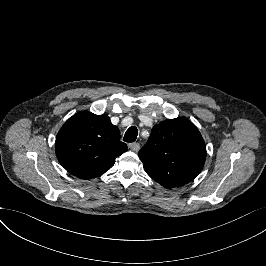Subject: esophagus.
<instances>
[{"instance_id": "esophagus-1", "label": "esophagus", "mask_w": 266, "mask_h": 266, "mask_svg": "<svg viewBox=\"0 0 266 266\" xmlns=\"http://www.w3.org/2000/svg\"><path fill=\"white\" fill-rule=\"evenodd\" d=\"M129 149L134 151V152H138V150L140 149V144L139 143H130L128 145Z\"/></svg>"}]
</instances>
